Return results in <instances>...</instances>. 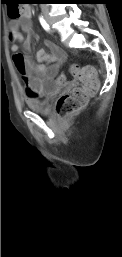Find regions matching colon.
<instances>
[{"label":"colon","instance_id":"1","mask_svg":"<svg viewBox=\"0 0 122 257\" xmlns=\"http://www.w3.org/2000/svg\"><path fill=\"white\" fill-rule=\"evenodd\" d=\"M6 10H9V16L12 19L20 16V5H6ZM16 67V64H14ZM68 73L67 71L65 72ZM70 73L80 83V87L73 88L62 94L56 103V112L60 117L69 118L80 112L87 104L88 98L93 95L99 86L96 71L92 67H79L72 65ZM66 74H55V90H66L70 87V77Z\"/></svg>","mask_w":122,"mask_h":257}]
</instances>
